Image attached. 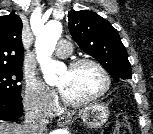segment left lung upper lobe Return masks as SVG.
I'll list each match as a JSON object with an SVG mask.
<instances>
[{
	"mask_svg": "<svg viewBox=\"0 0 153 134\" xmlns=\"http://www.w3.org/2000/svg\"><path fill=\"white\" fill-rule=\"evenodd\" d=\"M68 27L79 47L97 59L115 80L132 79L127 51L108 20L88 10L71 11Z\"/></svg>",
	"mask_w": 153,
	"mask_h": 134,
	"instance_id": "left-lung-upper-lobe-1",
	"label": "left lung upper lobe"
}]
</instances>
